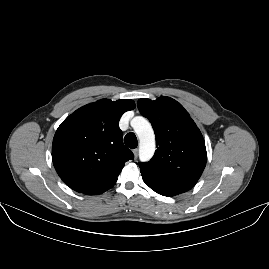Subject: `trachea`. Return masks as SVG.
Here are the masks:
<instances>
[{
	"label": "trachea",
	"mask_w": 269,
	"mask_h": 269,
	"mask_svg": "<svg viewBox=\"0 0 269 269\" xmlns=\"http://www.w3.org/2000/svg\"><path fill=\"white\" fill-rule=\"evenodd\" d=\"M124 143L131 149L136 148L138 144L136 135L133 132L126 134L124 137Z\"/></svg>",
	"instance_id": "3493384b"
}]
</instances>
